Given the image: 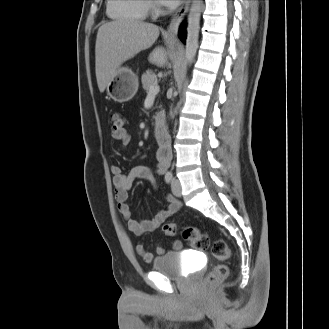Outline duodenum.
Listing matches in <instances>:
<instances>
[{"label": "duodenum", "instance_id": "obj_1", "mask_svg": "<svg viewBox=\"0 0 329 329\" xmlns=\"http://www.w3.org/2000/svg\"><path fill=\"white\" fill-rule=\"evenodd\" d=\"M152 127L156 138L164 143L167 140V132L164 124V116L162 114H158L154 118Z\"/></svg>", "mask_w": 329, "mask_h": 329}]
</instances>
